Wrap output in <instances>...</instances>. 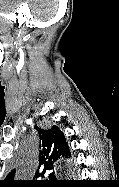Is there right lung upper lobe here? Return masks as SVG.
Listing matches in <instances>:
<instances>
[{
  "mask_svg": "<svg viewBox=\"0 0 119 187\" xmlns=\"http://www.w3.org/2000/svg\"><path fill=\"white\" fill-rule=\"evenodd\" d=\"M38 130L40 137V153H39V169L38 172L44 173L53 169L54 163L57 160L70 157V150L65 140L63 132L57 127L52 126L51 129ZM15 171L8 174L6 179H13Z\"/></svg>",
  "mask_w": 119,
  "mask_h": 187,
  "instance_id": "right-lung-upper-lobe-1",
  "label": "right lung upper lobe"
}]
</instances>
